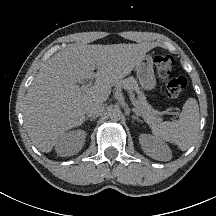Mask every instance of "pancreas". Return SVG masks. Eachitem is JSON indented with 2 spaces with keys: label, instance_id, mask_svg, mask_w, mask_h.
Wrapping results in <instances>:
<instances>
[{
  "label": "pancreas",
  "instance_id": "pancreas-1",
  "mask_svg": "<svg viewBox=\"0 0 216 216\" xmlns=\"http://www.w3.org/2000/svg\"><path fill=\"white\" fill-rule=\"evenodd\" d=\"M116 86L127 89L131 93L135 92L138 94V99L136 100L135 104L147 123L155 125L161 120V118L157 116L158 112L152 109L147 103L146 98L140 91V88L134 77H128L126 79L120 80L117 82Z\"/></svg>",
  "mask_w": 216,
  "mask_h": 216
}]
</instances>
